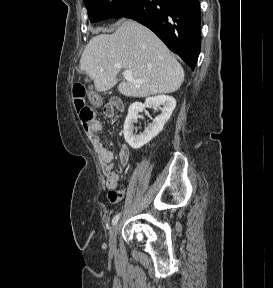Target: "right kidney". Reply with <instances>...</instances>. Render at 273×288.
Wrapping results in <instances>:
<instances>
[{
    "mask_svg": "<svg viewBox=\"0 0 273 288\" xmlns=\"http://www.w3.org/2000/svg\"><path fill=\"white\" fill-rule=\"evenodd\" d=\"M159 107L161 110L160 115L153 119L152 123L145 128L143 133L135 135L133 133V123L138 117V113L147 107ZM176 107V100L171 96L158 95L155 97H148L145 103L135 102L130 105L128 115L124 122V139L133 148L139 149L149 143L156 137L163 129L166 122L170 119L173 110Z\"/></svg>",
    "mask_w": 273,
    "mask_h": 288,
    "instance_id": "ca27d5eb",
    "label": "right kidney"
}]
</instances>
